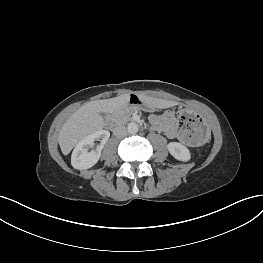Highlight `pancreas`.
I'll use <instances>...</instances> for the list:
<instances>
[{
	"label": "pancreas",
	"instance_id": "cf45deb5",
	"mask_svg": "<svg viewBox=\"0 0 263 263\" xmlns=\"http://www.w3.org/2000/svg\"><path fill=\"white\" fill-rule=\"evenodd\" d=\"M132 111L129 109H121L114 113V119L117 124H126L131 120Z\"/></svg>",
	"mask_w": 263,
	"mask_h": 263
}]
</instances>
